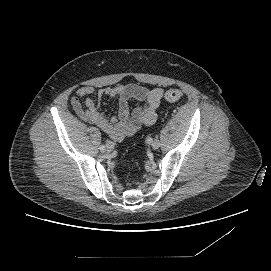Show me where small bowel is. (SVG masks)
Returning a JSON list of instances; mask_svg holds the SVG:
<instances>
[{
  "instance_id": "1",
  "label": "small bowel",
  "mask_w": 271,
  "mask_h": 271,
  "mask_svg": "<svg viewBox=\"0 0 271 271\" xmlns=\"http://www.w3.org/2000/svg\"><path fill=\"white\" fill-rule=\"evenodd\" d=\"M95 95L97 100L93 98ZM163 95L162 88L147 89L136 84L103 87L97 92L91 86H83L70 103L82 120L95 124L113 140L120 141L135 134L142 126H150L157 121ZM103 98L117 100L116 115L108 117L99 110V101ZM81 99H85L84 105ZM132 100L139 104L131 108Z\"/></svg>"
}]
</instances>
